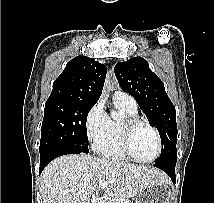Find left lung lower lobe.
Segmentation results:
<instances>
[{
    "label": "left lung lower lobe",
    "instance_id": "1",
    "mask_svg": "<svg viewBox=\"0 0 214 203\" xmlns=\"http://www.w3.org/2000/svg\"><path fill=\"white\" fill-rule=\"evenodd\" d=\"M154 166L166 172L173 183L175 184L176 176H175V166L176 162H166V163H154Z\"/></svg>",
    "mask_w": 214,
    "mask_h": 203
}]
</instances>
